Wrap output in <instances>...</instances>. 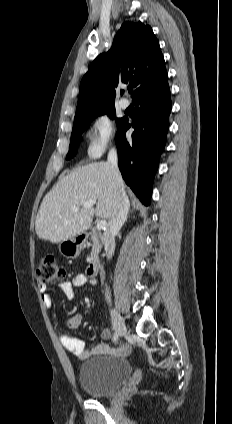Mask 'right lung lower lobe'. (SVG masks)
Returning a JSON list of instances; mask_svg holds the SVG:
<instances>
[{
	"mask_svg": "<svg viewBox=\"0 0 232 424\" xmlns=\"http://www.w3.org/2000/svg\"><path fill=\"white\" fill-rule=\"evenodd\" d=\"M167 80L165 72L152 88L133 100L136 114L132 124L124 120L115 137L121 174L145 205L150 204L153 178L169 128L171 96ZM131 126L135 131L128 140L125 133Z\"/></svg>",
	"mask_w": 232,
	"mask_h": 424,
	"instance_id": "right-lung-lower-lobe-1",
	"label": "right lung lower lobe"
}]
</instances>
